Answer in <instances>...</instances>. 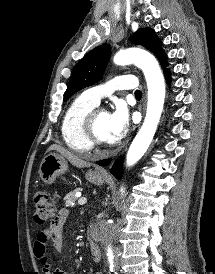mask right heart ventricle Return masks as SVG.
Instances as JSON below:
<instances>
[{
	"mask_svg": "<svg viewBox=\"0 0 215 274\" xmlns=\"http://www.w3.org/2000/svg\"><path fill=\"white\" fill-rule=\"evenodd\" d=\"M96 106L97 104L81 94L67 107L61 122V134L69 148L79 152H87L92 148L84 134L83 122L85 116Z\"/></svg>",
	"mask_w": 215,
	"mask_h": 274,
	"instance_id": "right-heart-ventricle-1",
	"label": "right heart ventricle"
}]
</instances>
